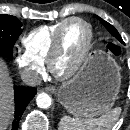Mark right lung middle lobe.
I'll return each instance as SVG.
<instances>
[{
	"mask_svg": "<svg viewBox=\"0 0 130 130\" xmlns=\"http://www.w3.org/2000/svg\"><path fill=\"white\" fill-rule=\"evenodd\" d=\"M22 23L14 16L0 15V55L12 59L13 46L22 33Z\"/></svg>",
	"mask_w": 130,
	"mask_h": 130,
	"instance_id": "right-lung-middle-lobe-1",
	"label": "right lung middle lobe"
}]
</instances>
